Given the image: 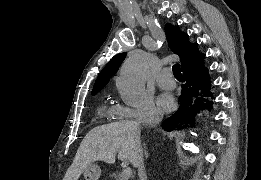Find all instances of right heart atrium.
<instances>
[{
    "label": "right heart atrium",
    "instance_id": "d8ad5b80",
    "mask_svg": "<svg viewBox=\"0 0 261 180\" xmlns=\"http://www.w3.org/2000/svg\"><path fill=\"white\" fill-rule=\"evenodd\" d=\"M144 101L145 104L137 105V109L124 108L122 110H119L116 118L118 120H122V117H140V120H144L145 117L150 113H155L156 115H159V112L154 108L150 96H148V98H145ZM114 127H117V125H114ZM140 127H142V125H140Z\"/></svg>",
    "mask_w": 261,
    "mask_h": 180
}]
</instances>
